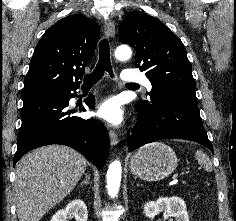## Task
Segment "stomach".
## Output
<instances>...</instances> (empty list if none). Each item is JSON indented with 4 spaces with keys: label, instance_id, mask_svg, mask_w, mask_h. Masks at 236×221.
Returning a JSON list of instances; mask_svg holds the SVG:
<instances>
[{
    "label": "stomach",
    "instance_id": "0dacf381",
    "mask_svg": "<svg viewBox=\"0 0 236 221\" xmlns=\"http://www.w3.org/2000/svg\"><path fill=\"white\" fill-rule=\"evenodd\" d=\"M178 160L173 149L153 142L139 148L130 160V171L146 181H159L169 176L177 167Z\"/></svg>",
    "mask_w": 236,
    "mask_h": 221
}]
</instances>
